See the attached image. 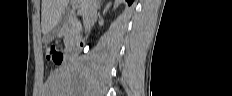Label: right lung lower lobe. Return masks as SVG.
<instances>
[{"instance_id": "1", "label": "right lung lower lobe", "mask_w": 232, "mask_h": 96, "mask_svg": "<svg viewBox=\"0 0 232 96\" xmlns=\"http://www.w3.org/2000/svg\"><path fill=\"white\" fill-rule=\"evenodd\" d=\"M128 2L129 5L132 4L133 0H126Z\"/></svg>"}]
</instances>
